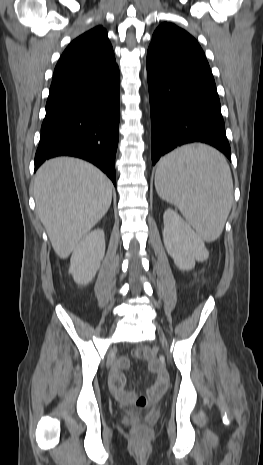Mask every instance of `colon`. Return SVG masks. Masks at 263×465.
I'll use <instances>...</instances> for the list:
<instances>
[{
  "instance_id": "1",
  "label": "colon",
  "mask_w": 263,
  "mask_h": 465,
  "mask_svg": "<svg viewBox=\"0 0 263 465\" xmlns=\"http://www.w3.org/2000/svg\"><path fill=\"white\" fill-rule=\"evenodd\" d=\"M159 395H160V394L155 393V394H153V395H151V396H152V397H157V396H159ZM137 405L140 406V407H145V406L147 405V400H146L145 398H142V397H141V398H139V399L137 400ZM146 430H147V429H146L145 427H139V428H138V431H139V432H145Z\"/></svg>"
}]
</instances>
